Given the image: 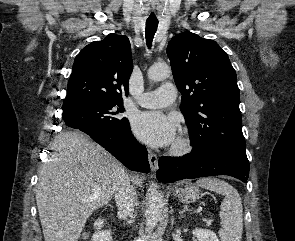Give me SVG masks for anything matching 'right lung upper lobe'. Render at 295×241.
Listing matches in <instances>:
<instances>
[{
    "instance_id": "1",
    "label": "right lung upper lobe",
    "mask_w": 295,
    "mask_h": 241,
    "mask_svg": "<svg viewBox=\"0 0 295 241\" xmlns=\"http://www.w3.org/2000/svg\"><path fill=\"white\" fill-rule=\"evenodd\" d=\"M133 62L127 36L109 34L76 56L63 110L88 103L123 102Z\"/></svg>"
}]
</instances>
